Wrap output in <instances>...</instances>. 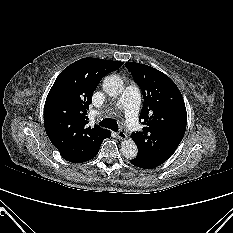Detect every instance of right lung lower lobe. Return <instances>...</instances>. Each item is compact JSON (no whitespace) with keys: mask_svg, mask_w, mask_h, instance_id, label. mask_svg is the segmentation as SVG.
<instances>
[{"mask_svg":"<svg viewBox=\"0 0 233 233\" xmlns=\"http://www.w3.org/2000/svg\"><path fill=\"white\" fill-rule=\"evenodd\" d=\"M110 136H111V133H109L108 137H110ZM108 137H107V138H108ZM99 149H100V148H99ZM99 149H98L88 160H91L92 158H94V157L97 155ZM88 160H87V161H88Z\"/></svg>","mask_w":233,"mask_h":233,"instance_id":"right-lung-lower-lobe-1","label":"right lung lower lobe"}]
</instances>
